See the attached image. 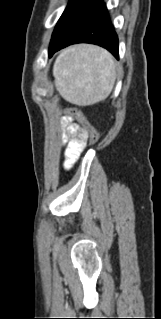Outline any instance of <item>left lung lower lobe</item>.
I'll return each instance as SVG.
<instances>
[{"mask_svg": "<svg viewBox=\"0 0 161 319\" xmlns=\"http://www.w3.org/2000/svg\"><path fill=\"white\" fill-rule=\"evenodd\" d=\"M76 43H91L104 47L119 58L118 37L110 22L105 3L98 4L78 22L63 38L49 47V56Z\"/></svg>", "mask_w": 161, "mask_h": 319, "instance_id": "1", "label": "left lung lower lobe"}]
</instances>
